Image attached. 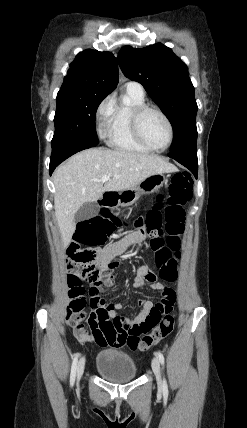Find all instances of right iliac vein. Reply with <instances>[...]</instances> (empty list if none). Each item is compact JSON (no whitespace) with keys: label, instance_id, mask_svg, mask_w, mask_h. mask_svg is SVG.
Here are the masks:
<instances>
[{"label":"right iliac vein","instance_id":"right-iliac-vein-1","mask_svg":"<svg viewBox=\"0 0 247 428\" xmlns=\"http://www.w3.org/2000/svg\"><path fill=\"white\" fill-rule=\"evenodd\" d=\"M85 367V358H82L79 362L78 369H77V381L81 379Z\"/></svg>","mask_w":247,"mask_h":428}]
</instances>
